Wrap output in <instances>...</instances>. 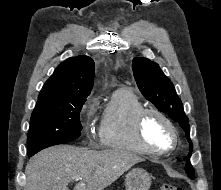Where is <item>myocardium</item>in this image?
I'll return each instance as SVG.
<instances>
[{"label": "myocardium", "instance_id": "1", "mask_svg": "<svg viewBox=\"0 0 221 190\" xmlns=\"http://www.w3.org/2000/svg\"><path fill=\"white\" fill-rule=\"evenodd\" d=\"M150 115L159 117L170 129L173 136V142L168 148L156 149L147 142L144 136V124L147 117ZM134 134L139 145L150 155L161 156L170 153L171 151L175 150L179 144V134L171 119L159 109L152 107L144 108L137 114L134 123Z\"/></svg>", "mask_w": 221, "mask_h": 190}]
</instances>
